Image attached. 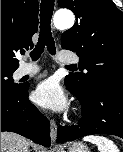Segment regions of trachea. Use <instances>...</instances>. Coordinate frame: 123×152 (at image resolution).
I'll return each instance as SVG.
<instances>
[{
	"label": "trachea",
	"instance_id": "1",
	"mask_svg": "<svg viewBox=\"0 0 123 152\" xmlns=\"http://www.w3.org/2000/svg\"><path fill=\"white\" fill-rule=\"evenodd\" d=\"M54 10V0H41L40 9V34L38 43L35 49L30 53L33 61L39 59L43 53L44 47L47 46L48 51L55 54V43L51 33V18ZM67 68H74L73 65L67 66Z\"/></svg>",
	"mask_w": 123,
	"mask_h": 152
}]
</instances>
